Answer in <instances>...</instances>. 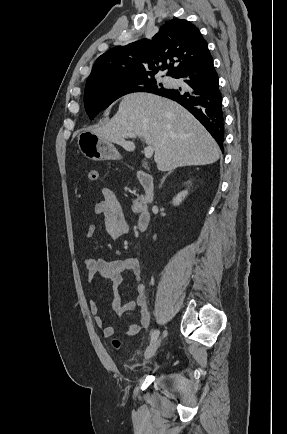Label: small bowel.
Listing matches in <instances>:
<instances>
[{
  "label": "small bowel",
  "instance_id": "obj_1",
  "mask_svg": "<svg viewBox=\"0 0 287 434\" xmlns=\"http://www.w3.org/2000/svg\"><path fill=\"white\" fill-rule=\"evenodd\" d=\"M103 200L96 203L94 213L103 218L104 226L109 238L116 240L129 232V224L127 217L123 211L121 203L115 193L109 189L103 191ZM96 233L94 225L87 227L86 236L93 238ZM83 265L87 271V279L91 285H94L98 280L110 279L116 286H119L123 280V274L130 272L133 280L137 284L135 297L127 302H123L121 295L117 293L111 300L109 306L117 314H124L139 309V322L130 324L125 336L132 338L136 336L143 328L150 325L151 316L146 300L145 288L142 284V266L140 261L135 256L105 261L86 257L83 260ZM91 313L95 316V323L103 329V334L106 338L113 337L115 329L112 326H106L104 319L99 315V305L94 300L89 301Z\"/></svg>",
  "mask_w": 287,
  "mask_h": 434
}]
</instances>
